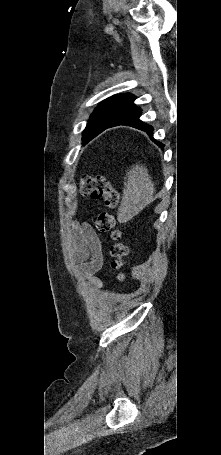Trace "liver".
<instances>
[{
	"label": "liver",
	"mask_w": 221,
	"mask_h": 455,
	"mask_svg": "<svg viewBox=\"0 0 221 455\" xmlns=\"http://www.w3.org/2000/svg\"><path fill=\"white\" fill-rule=\"evenodd\" d=\"M126 176L122 200L117 212L119 223L130 221L154 200V183L145 166L133 165Z\"/></svg>",
	"instance_id": "6515ba94"
}]
</instances>
